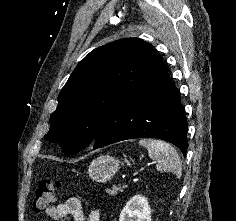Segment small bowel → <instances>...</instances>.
I'll return each mask as SVG.
<instances>
[{"instance_id":"1","label":"small bowel","mask_w":236,"mask_h":221,"mask_svg":"<svg viewBox=\"0 0 236 221\" xmlns=\"http://www.w3.org/2000/svg\"><path fill=\"white\" fill-rule=\"evenodd\" d=\"M46 214L55 221H67L72 217L74 221H100V211L93 209L86 217L83 212V203L79 197L72 196L57 206H50Z\"/></svg>"}]
</instances>
